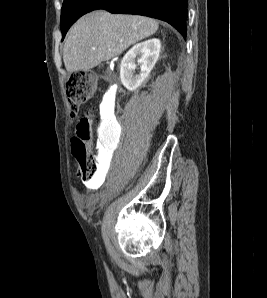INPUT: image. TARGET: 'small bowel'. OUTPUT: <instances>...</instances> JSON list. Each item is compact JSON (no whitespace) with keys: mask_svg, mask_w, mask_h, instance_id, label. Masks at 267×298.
<instances>
[{"mask_svg":"<svg viewBox=\"0 0 267 298\" xmlns=\"http://www.w3.org/2000/svg\"><path fill=\"white\" fill-rule=\"evenodd\" d=\"M97 199L98 198L95 194L85 195V194L79 193L77 195V200H78L79 204L83 208H87V209H91L94 206V204L96 203Z\"/></svg>","mask_w":267,"mask_h":298,"instance_id":"1","label":"small bowel"}]
</instances>
